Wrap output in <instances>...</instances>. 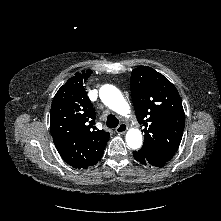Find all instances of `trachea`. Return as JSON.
<instances>
[{
    "label": "trachea",
    "mask_w": 221,
    "mask_h": 221,
    "mask_svg": "<svg viewBox=\"0 0 221 221\" xmlns=\"http://www.w3.org/2000/svg\"><path fill=\"white\" fill-rule=\"evenodd\" d=\"M119 124V120L116 118L115 115H109L107 117L106 125L109 128H116Z\"/></svg>",
    "instance_id": "1"
}]
</instances>
